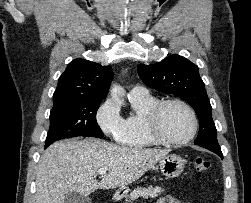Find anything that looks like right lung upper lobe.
Returning <instances> with one entry per match:
<instances>
[{
    "mask_svg": "<svg viewBox=\"0 0 251 203\" xmlns=\"http://www.w3.org/2000/svg\"><path fill=\"white\" fill-rule=\"evenodd\" d=\"M112 79L111 66L75 59L59 77L53 107L78 100H102L107 96Z\"/></svg>",
    "mask_w": 251,
    "mask_h": 203,
    "instance_id": "cb5924a9",
    "label": "right lung upper lobe"
}]
</instances>
